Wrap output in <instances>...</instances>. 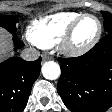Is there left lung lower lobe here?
<instances>
[{
    "instance_id": "left-lung-lower-lobe-1",
    "label": "left lung lower lobe",
    "mask_w": 112,
    "mask_h": 112,
    "mask_svg": "<svg viewBox=\"0 0 112 112\" xmlns=\"http://www.w3.org/2000/svg\"><path fill=\"white\" fill-rule=\"evenodd\" d=\"M57 90L72 112H105L112 106V33L86 54L58 58Z\"/></svg>"
}]
</instances>
